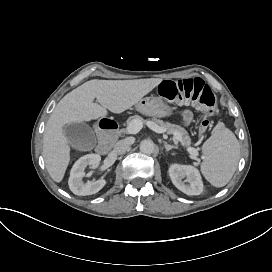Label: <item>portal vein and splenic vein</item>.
Instances as JSON below:
<instances>
[{
    "mask_svg": "<svg viewBox=\"0 0 272 272\" xmlns=\"http://www.w3.org/2000/svg\"><path fill=\"white\" fill-rule=\"evenodd\" d=\"M146 125L153 131H155L156 133H164L166 132V128H163L159 125H157L156 123H154L153 121H147ZM143 127V122L139 119H133L130 124L127 126V133L128 134H137ZM173 135L175 136V139L178 141H182V136L178 133V132H174ZM187 151L191 154V155H198V150L193 148V147H189L187 148Z\"/></svg>",
    "mask_w": 272,
    "mask_h": 272,
    "instance_id": "1",
    "label": "portal vein and splenic vein"
}]
</instances>
